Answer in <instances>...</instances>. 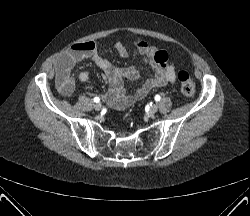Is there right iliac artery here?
<instances>
[{
	"instance_id": "82829eb1",
	"label": "right iliac artery",
	"mask_w": 250,
	"mask_h": 216,
	"mask_svg": "<svg viewBox=\"0 0 250 216\" xmlns=\"http://www.w3.org/2000/svg\"><path fill=\"white\" fill-rule=\"evenodd\" d=\"M100 101V98L99 97H95L94 98V102L98 103Z\"/></svg>"
}]
</instances>
